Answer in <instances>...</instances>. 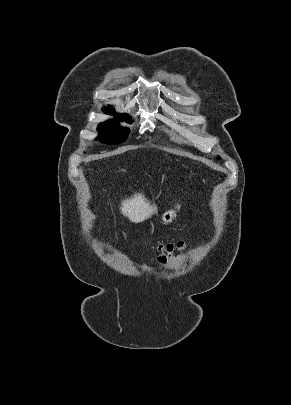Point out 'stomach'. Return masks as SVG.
Here are the masks:
<instances>
[{
	"instance_id": "stomach-1",
	"label": "stomach",
	"mask_w": 291,
	"mask_h": 405,
	"mask_svg": "<svg viewBox=\"0 0 291 405\" xmlns=\"http://www.w3.org/2000/svg\"><path fill=\"white\" fill-rule=\"evenodd\" d=\"M175 209H180V205L179 204H177L176 206H175ZM176 217V210H168V211H166L164 214H163V216H162V220L165 222V223H169V222H172V220L174 219Z\"/></svg>"
}]
</instances>
